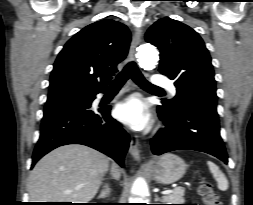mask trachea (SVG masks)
Masks as SVG:
<instances>
[{"mask_svg":"<svg viewBox=\"0 0 253 205\" xmlns=\"http://www.w3.org/2000/svg\"><path fill=\"white\" fill-rule=\"evenodd\" d=\"M130 77L132 78V80L136 84H138L139 86H141L143 88L162 91V89L160 87H157V86L149 83L144 78V76L139 71L138 67L136 66L135 62H133V61L126 64L123 71L120 74H118L116 76L115 80L112 82L111 87L112 88L121 87Z\"/></svg>","mask_w":253,"mask_h":205,"instance_id":"1","label":"trachea"}]
</instances>
